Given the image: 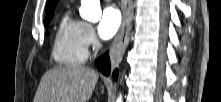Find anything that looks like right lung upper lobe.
<instances>
[{"mask_svg": "<svg viewBox=\"0 0 221 102\" xmlns=\"http://www.w3.org/2000/svg\"><path fill=\"white\" fill-rule=\"evenodd\" d=\"M58 0H47V11L46 15L52 14Z\"/></svg>", "mask_w": 221, "mask_h": 102, "instance_id": "right-lung-upper-lobe-1", "label": "right lung upper lobe"}]
</instances>
